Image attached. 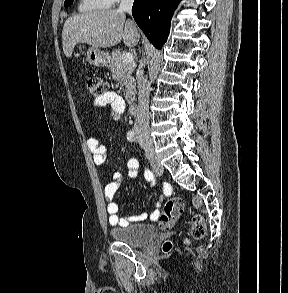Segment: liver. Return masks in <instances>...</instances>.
<instances>
[{
	"label": "liver",
	"mask_w": 288,
	"mask_h": 293,
	"mask_svg": "<svg viewBox=\"0 0 288 293\" xmlns=\"http://www.w3.org/2000/svg\"><path fill=\"white\" fill-rule=\"evenodd\" d=\"M140 35L132 20H126L124 12L101 10L69 17L63 26L62 43L66 57H71L79 43L94 48H107L121 40L128 47L139 42Z\"/></svg>",
	"instance_id": "liver-1"
}]
</instances>
